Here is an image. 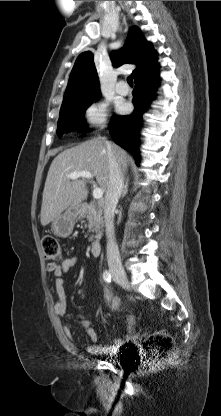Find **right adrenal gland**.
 Here are the masks:
<instances>
[{"mask_svg": "<svg viewBox=\"0 0 221 416\" xmlns=\"http://www.w3.org/2000/svg\"><path fill=\"white\" fill-rule=\"evenodd\" d=\"M128 185H129V178H127L126 181H125V185H124V188H123V191H122L121 198H124L125 195L128 193Z\"/></svg>", "mask_w": 221, "mask_h": 416, "instance_id": "2a0ac1e0", "label": "right adrenal gland"}]
</instances>
